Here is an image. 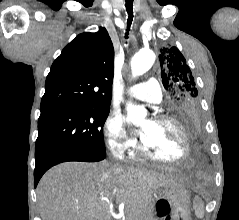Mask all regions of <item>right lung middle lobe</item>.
<instances>
[{
	"instance_id": "1",
	"label": "right lung middle lobe",
	"mask_w": 239,
	"mask_h": 220,
	"mask_svg": "<svg viewBox=\"0 0 239 220\" xmlns=\"http://www.w3.org/2000/svg\"><path fill=\"white\" fill-rule=\"evenodd\" d=\"M109 107H85L41 112L35 156L57 149L106 153L103 125Z\"/></svg>"
}]
</instances>
